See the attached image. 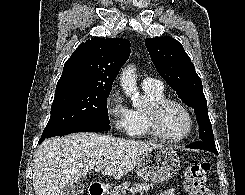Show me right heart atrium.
I'll list each match as a JSON object with an SVG mask.
<instances>
[{"mask_svg":"<svg viewBox=\"0 0 245 195\" xmlns=\"http://www.w3.org/2000/svg\"><path fill=\"white\" fill-rule=\"evenodd\" d=\"M105 110L113 129L118 133L129 134L131 131V110L116 89L110 91L105 100Z\"/></svg>","mask_w":245,"mask_h":195,"instance_id":"1","label":"right heart atrium"}]
</instances>
